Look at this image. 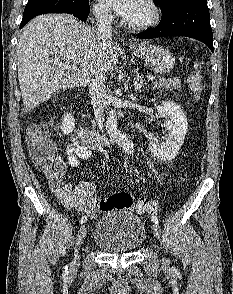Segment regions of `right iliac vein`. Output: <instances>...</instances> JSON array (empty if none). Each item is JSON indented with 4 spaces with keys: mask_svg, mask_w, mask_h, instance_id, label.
Instances as JSON below:
<instances>
[{
    "mask_svg": "<svg viewBox=\"0 0 233 294\" xmlns=\"http://www.w3.org/2000/svg\"><path fill=\"white\" fill-rule=\"evenodd\" d=\"M86 236V227L82 225L78 231L77 239H76V248L74 252V258L71 264L72 269H76L79 265V248L82 245Z\"/></svg>",
    "mask_w": 233,
    "mask_h": 294,
    "instance_id": "right-iliac-vein-1",
    "label": "right iliac vein"
}]
</instances>
